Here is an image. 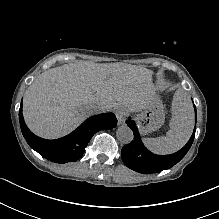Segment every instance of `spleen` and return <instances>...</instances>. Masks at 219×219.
<instances>
[{"label": "spleen", "instance_id": "obj_1", "mask_svg": "<svg viewBox=\"0 0 219 219\" xmlns=\"http://www.w3.org/2000/svg\"><path fill=\"white\" fill-rule=\"evenodd\" d=\"M172 119L165 137L143 138L145 147L156 155H171L181 150L194 130V110L190 95L182 88L176 90L171 107Z\"/></svg>", "mask_w": 219, "mask_h": 219}]
</instances>
